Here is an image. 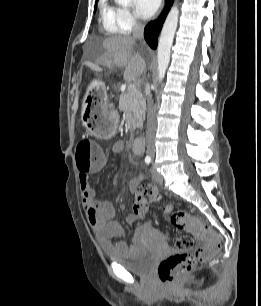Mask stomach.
Here are the masks:
<instances>
[{"label":"stomach","instance_id":"0dacf381","mask_svg":"<svg viewBox=\"0 0 261 306\" xmlns=\"http://www.w3.org/2000/svg\"><path fill=\"white\" fill-rule=\"evenodd\" d=\"M81 120L95 136H101L102 125L115 124V117L109 111L107 93L102 85H96L86 94L81 108Z\"/></svg>","mask_w":261,"mask_h":306}]
</instances>
